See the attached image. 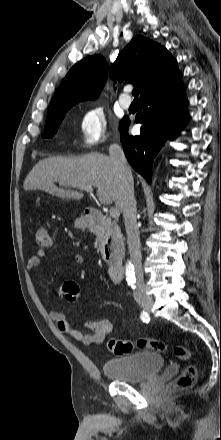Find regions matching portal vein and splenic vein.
<instances>
[{
  "instance_id": "portal-vein-and-splenic-vein-1",
  "label": "portal vein and splenic vein",
  "mask_w": 221,
  "mask_h": 440,
  "mask_svg": "<svg viewBox=\"0 0 221 440\" xmlns=\"http://www.w3.org/2000/svg\"><path fill=\"white\" fill-rule=\"evenodd\" d=\"M82 190L86 191V192H92L93 189L90 186H82L80 187ZM120 216V212L117 208H111L110 209V217L116 219Z\"/></svg>"
}]
</instances>
